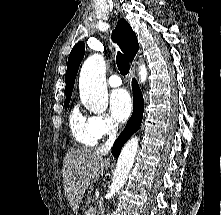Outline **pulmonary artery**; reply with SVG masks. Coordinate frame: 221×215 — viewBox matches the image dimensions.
Returning a JSON list of instances; mask_svg holds the SVG:
<instances>
[{"mask_svg":"<svg viewBox=\"0 0 221 215\" xmlns=\"http://www.w3.org/2000/svg\"><path fill=\"white\" fill-rule=\"evenodd\" d=\"M108 84L112 87H118L122 84V80L118 75L114 74L108 78Z\"/></svg>","mask_w":221,"mask_h":215,"instance_id":"pulmonary-artery-1","label":"pulmonary artery"}]
</instances>
